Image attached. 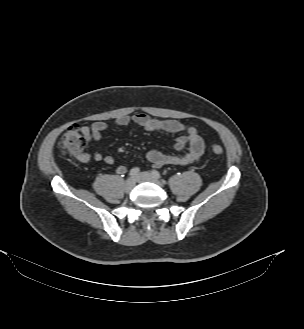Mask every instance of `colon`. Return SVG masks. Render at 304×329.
I'll return each instance as SVG.
<instances>
[{
	"label": "colon",
	"instance_id": "5ec220e1",
	"mask_svg": "<svg viewBox=\"0 0 304 329\" xmlns=\"http://www.w3.org/2000/svg\"><path fill=\"white\" fill-rule=\"evenodd\" d=\"M86 145V139L78 125H72L66 129L59 141L60 153L65 156L78 158ZM211 150L215 155H222L224 149L219 144H213Z\"/></svg>",
	"mask_w": 304,
	"mask_h": 329
}]
</instances>
